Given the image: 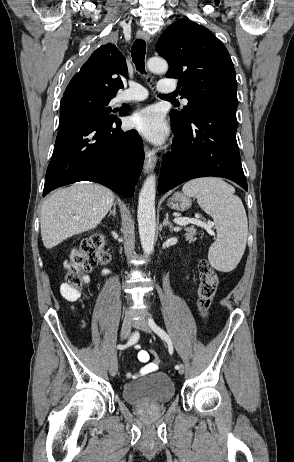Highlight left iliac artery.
Segmentation results:
<instances>
[{"instance_id": "left-iliac-artery-1", "label": "left iliac artery", "mask_w": 294, "mask_h": 462, "mask_svg": "<svg viewBox=\"0 0 294 462\" xmlns=\"http://www.w3.org/2000/svg\"><path fill=\"white\" fill-rule=\"evenodd\" d=\"M149 326L152 328V330L163 340H165L168 344V356H173V344L170 339V337L167 335V333L161 329L152 318L148 319ZM176 369L180 368V365L175 366Z\"/></svg>"}]
</instances>
